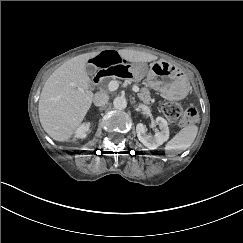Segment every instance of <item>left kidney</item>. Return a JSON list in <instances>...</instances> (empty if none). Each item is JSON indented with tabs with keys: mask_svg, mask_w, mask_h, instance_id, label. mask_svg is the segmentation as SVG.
Here are the masks:
<instances>
[{
	"mask_svg": "<svg viewBox=\"0 0 243 243\" xmlns=\"http://www.w3.org/2000/svg\"><path fill=\"white\" fill-rule=\"evenodd\" d=\"M156 123L159 125L160 131L156 132L154 136L146 133V127L142 123H138L136 126L139 141L150 150L157 149L169 139V127L166 119L157 117Z\"/></svg>",
	"mask_w": 243,
	"mask_h": 243,
	"instance_id": "left-kidney-1",
	"label": "left kidney"
}]
</instances>
